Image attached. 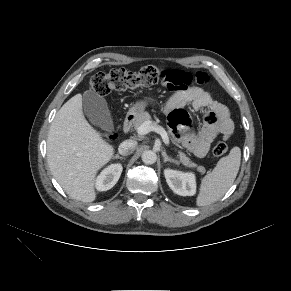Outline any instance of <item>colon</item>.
<instances>
[{"mask_svg":"<svg viewBox=\"0 0 291 291\" xmlns=\"http://www.w3.org/2000/svg\"><path fill=\"white\" fill-rule=\"evenodd\" d=\"M196 79L200 84L208 81V77L204 73H198ZM160 81L165 82L169 89H182L189 85L191 80L187 76L174 74L171 71L145 66L136 72L116 69L108 73H97L91 78L90 87L98 95L105 96L112 91L152 86ZM105 138L112 139L114 136L106 133ZM227 151L228 146L224 142L216 143L212 149V153L216 157L225 155Z\"/></svg>","mask_w":291,"mask_h":291,"instance_id":"obj_1","label":"colon"}]
</instances>
